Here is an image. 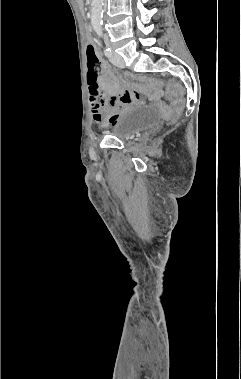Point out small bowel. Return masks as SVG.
Wrapping results in <instances>:
<instances>
[{"label":"small bowel","instance_id":"1","mask_svg":"<svg viewBox=\"0 0 241 379\" xmlns=\"http://www.w3.org/2000/svg\"><path fill=\"white\" fill-rule=\"evenodd\" d=\"M101 78L98 86L90 88L88 105L93 120L98 124L119 125L121 114L140 101V93L113 76L106 67L101 69ZM90 85V84H89ZM131 87L135 84L131 83ZM100 87L102 89H100ZM154 98L152 97L151 100Z\"/></svg>","mask_w":241,"mask_h":379}]
</instances>
